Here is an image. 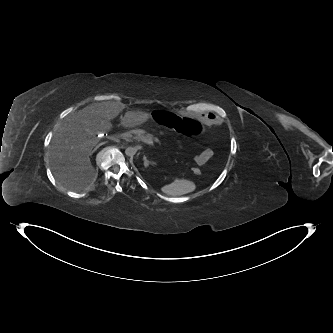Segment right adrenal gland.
I'll return each instance as SVG.
<instances>
[{
	"instance_id": "1",
	"label": "right adrenal gland",
	"mask_w": 333,
	"mask_h": 333,
	"mask_svg": "<svg viewBox=\"0 0 333 333\" xmlns=\"http://www.w3.org/2000/svg\"><path fill=\"white\" fill-rule=\"evenodd\" d=\"M105 143H106V142H104L103 144H105ZM99 146H100V145L96 146L92 152H95V151L99 148Z\"/></svg>"
}]
</instances>
